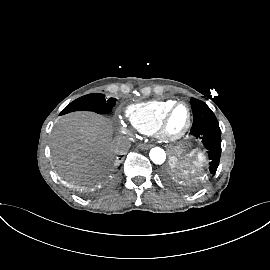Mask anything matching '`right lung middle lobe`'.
<instances>
[{
    "mask_svg": "<svg viewBox=\"0 0 270 270\" xmlns=\"http://www.w3.org/2000/svg\"><path fill=\"white\" fill-rule=\"evenodd\" d=\"M115 102V98H110L106 101L104 94H88L70 103L60 113V115L79 110L94 111L96 113L105 114L111 111Z\"/></svg>",
    "mask_w": 270,
    "mask_h": 270,
    "instance_id": "obj_1",
    "label": "right lung middle lobe"
}]
</instances>
